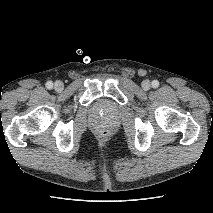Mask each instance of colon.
I'll use <instances>...</instances> for the list:
<instances>
[{
	"mask_svg": "<svg viewBox=\"0 0 213 213\" xmlns=\"http://www.w3.org/2000/svg\"><path fill=\"white\" fill-rule=\"evenodd\" d=\"M100 136L103 137V138L106 137L107 136V132L106 131L101 132Z\"/></svg>",
	"mask_w": 213,
	"mask_h": 213,
	"instance_id": "colon-1",
	"label": "colon"
}]
</instances>
